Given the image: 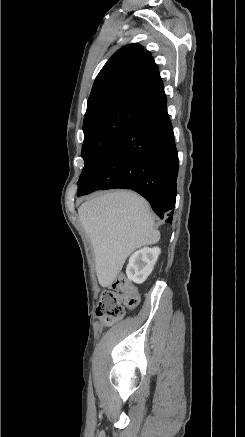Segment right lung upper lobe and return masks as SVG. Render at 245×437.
<instances>
[{
  "label": "right lung upper lobe",
  "mask_w": 245,
  "mask_h": 437,
  "mask_svg": "<svg viewBox=\"0 0 245 437\" xmlns=\"http://www.w3.org/2000/svg\"><path fill=\"white\" fill-rule=\"evenodd\" d=\"M165 100L163 82L151 53L133 43L115 52L99 72L86 113L106 103L124 102L143 109Z\"/></svg>",
  "instance_id": "1"
}]
</instances>
